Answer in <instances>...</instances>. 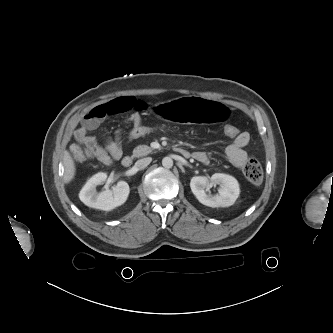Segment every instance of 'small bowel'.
Returning a JSON list of instances; mask_svg holds the SVG:
<instances>
[{"instance_id":"small-bowel-1","label":"small bowel","mask_w":333,"mask_h":333,"mask_svg":"<svg viewBox=\"0 0 333 333\" xmlns=\"http://www.w3.org/2000/svg\"><path fill=\"white\" fill-rule=\"evenodd\" d=\"M147 105L144 101L134 97H119L109 102L97 105L86 112L81 120L80 127L75 131V138L78 145L73 149H81L88 157L95 158L105 165L123 156L121 132L117 131L113 139L109 138L104 144L89 134L95 130L100 123L109 116L130 112L128 122L136 123L141 121L140 112L145 110ZM250 141L247 132H241L233 139L225 150L228 160L236 167L242 168L247 161L245 147ZM192 156L199 162L207 164L209 158L205 152H194Z\"/></svg>"}]
</instances>
